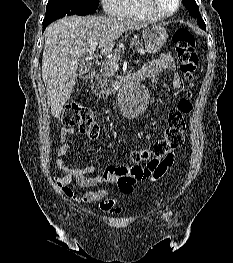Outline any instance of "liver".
<instances>
[{
    "instance_id": "1",
    "label": "liver",
    "mask_w": 233,
    "mask_h": 263,
    "mask_svg": "<svg viewBox=\"0 0 233 263\" xmlns=\"http://www.w3.org/2000/svg\"><path fill=\"white\" fill-rule=\"evenodd\" d=\"M144 27L130 19L100 16H69L51 23L44 33L42 79L52 116H60L76 84L79 60L89 52L91 43L97 42L100 52L107 54L124 32Z\"/></svg>"
}]
</instances>
